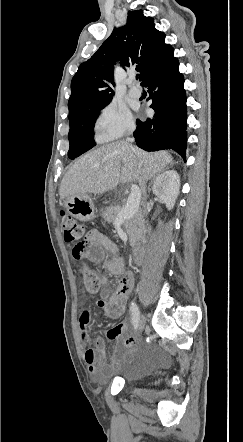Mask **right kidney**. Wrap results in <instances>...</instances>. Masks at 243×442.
Listing matches in <instances>:
<instances>
[{"label":"right kidney","mask_w":243,"mask_h":442,"mask_svg":"<svg viewBox=\"0 0 243 442\" xmlns=\"http://www.w3.org/2000/svg\"><path fill=\"white\" fill-rule=\"evenodd\" d=\"M180 178L175 170L159 175L152 187L153 193L165 203L168 210L173 209L179 194Z\"/></svg>","instance_id":"1"}]
</instances>
